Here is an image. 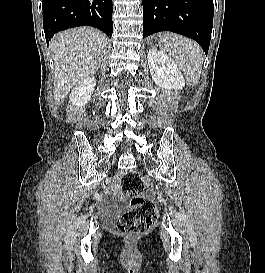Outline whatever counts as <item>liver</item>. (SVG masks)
I'll return each mask as SVG.
<instances>
[{"instance_id": "liver-1", "label": "liver", "mask_w": 265, "mask_h": 273, "mask_svg": "<svg viewBox=\"0 0 265 273\" xmlns=\"http://www.w3.org/2000/svg\"><path fill=\"white\" fill-rule=\"evenodd\" d=\"M106 36L91 27L56 34L50 42L55 65L54 99L60 105L70 90L93 75L106 52Z\"/></svg>"}]
</instances>
